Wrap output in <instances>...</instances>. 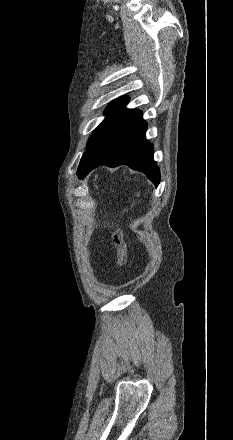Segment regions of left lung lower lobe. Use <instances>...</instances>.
Here are the masks:
<instances>
[{"label":"left lung lower lobe","mask_w":233,"mask_h":440,"mask_svg":"<svg viewBox=\"0 0 233 440\" xmlns=\"http://www.w3.org/2000/svg\"><path fill=\"white\" fill-rule=\"evenodd\" d=\"M146 122L142 112L124 109L104 130L92 146L85 159L79 164L77 174L84 178L92 169L107 165L116 167L128 165L141 171L156 185L160 172L153 159V146L145 139Z\"/></svg>","instance_id":"obj_1"}]
</instances>
